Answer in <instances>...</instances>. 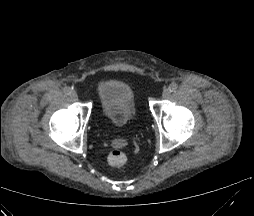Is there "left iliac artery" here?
I'll list each match as a JSON object with an SVG mask.
<instances>
[{
  "label": "left iliac artery",
  "instance_id": "1",
  "mask_svg": "<svg viewBox=\"0 0 254 216\" xmlns=\"http://www.w3.org/2000/svg\"><path fill=\"white\" fill-rule=\"evenodd\" d=\"M178 86L176 83H171L168 87L170 92H175L177 90Z\"/></svg>",
  "mask_w": 254,
  "mask_h": 216
}]
</instances>
